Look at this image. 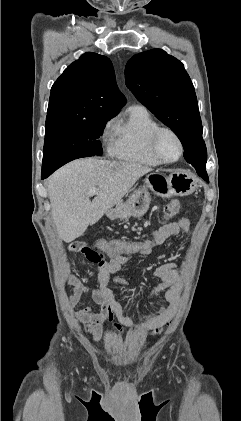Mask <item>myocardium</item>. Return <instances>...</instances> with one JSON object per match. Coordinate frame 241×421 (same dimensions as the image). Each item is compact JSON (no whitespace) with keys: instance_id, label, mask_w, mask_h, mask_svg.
<instances>
[{"instance_id":"f54148a6","label":"myocardium","mask_w":241,"mask_h":421,"mask_svg":"<svg viewBox=\"0 0 241 421\" xmlns=\"http://www.w3.org/2000/svg\"><path fill=\"white\" fill-rule=\"evenodd\" d=\"M164 133H168L171 134L178 142L179 144V154L178 156L173 159V160H166L165 158H163V156L161 155L160 151H159V140L160 137L164 134ZM150 150L152 152V154L156 157V159L163 164H171V163H175L177 162L184 154V144L183 141L180 137V135L173 130L172 128L169 127H159L157 128L151 135L150 137Z\"/></svg>"}]
</instances>
